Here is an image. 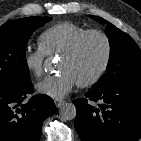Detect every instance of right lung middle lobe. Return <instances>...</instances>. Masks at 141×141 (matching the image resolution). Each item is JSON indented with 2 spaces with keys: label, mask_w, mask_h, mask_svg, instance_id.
Here are the masks:
<instances>
[{
  "label": "right lung middle lobe",
  "mask_w": 141,
  "mask_h": 141,
  "mask_svg": "<svg viewBox=\"0 0 141 141\" xmlns=\"http://www.w3.org/2000/svg\"><path fill=\"white\" fill-rule=\"evenodd\" d=\"M51 17H27L9 21L0 27V85L30 81L26 45L35 30Z\"/></svg>",
  "instance_id": "obj_1"
}]
</instances>
